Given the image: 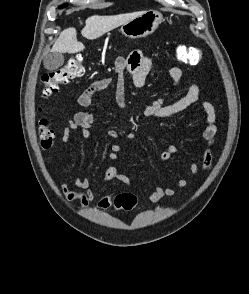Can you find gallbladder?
<instances>
[{"label": "gallbladder", "mask_w": 249, "mask_h": 294, "mask_svg": "<svg viewBox=\"0 0 249 294\" xmlns=\"http://www.w3.org/2000/svg\"><path fill=\"white\" fill-rule=\"evenodd\" d=\"M64 64V56L59 52H51L44 58V67L48 71H54Z\"/></svg>", "instance_id": "1"}]
</instances>
